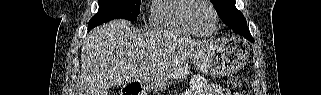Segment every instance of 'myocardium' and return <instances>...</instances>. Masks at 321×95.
Here are the masks:
<instances>
[{"label":"myocardium","mask_w":321,"mask_h":95,"mask_svg":"<svg viewBox=\"0 0 321 95\" xmlns=\"http://www.w3.org/2000/svg\"><path fill=\"white\" fill-rule=\"evenodd\" d=\"M199 3L206 4L207 6H209V8L212 11L213 20H214V27L210 32H203L202 30H200L192 18V11H193L194 7ZM185 17H186V21L189 23V25L194 29V31L198 35L210 36L217 30L218 15H217L216 9L214 8V6L210 0H189V5L186 8Z\"/></svg>","instance_id":"obj_1"}]
</instances>
